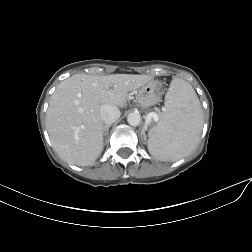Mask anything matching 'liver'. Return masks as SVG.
I'll return each instance as SVG.
<instances>
[{
  "mask_svg": "<svg viewBox=\"0 0 252 252\" xmlns=\"http://www.w3.org/2000/svg\"><path fill=\"white\" fill-rule=\"evenodd\" d=\"M151 79L148 75L77 74L62 81L51 96L46 114V128L57 154L69 164L94 163L104 148L101 106L123 107L128 92Z\"/></svg>",
  "mask_w": 252,
  "mask_h": 252,
  "instance_id": "1",
  "label": "liver"
}]
</instances>
